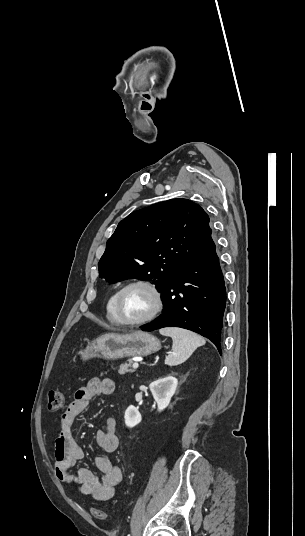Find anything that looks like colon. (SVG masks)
Here are the masks:
<instances>
[{
	"label": "colon",
	"instance_id": "colon-1",
	"mask_svg": "<svg viewBox=\"0 0 305 536\" xmlns=\"http://www.w3.org/2000/svg\"><path fill=\"white\" fill-rule=\"evenodd\" d=\"M64 405V394L59 390H49L47 393V409L50 413L59 412ZM91 515L100 520L107 518V513L102 510L94 509L91 511Z\"/></svg>",
	"mask_w": 305,
	"mask_h": 536
}]
</instances>
